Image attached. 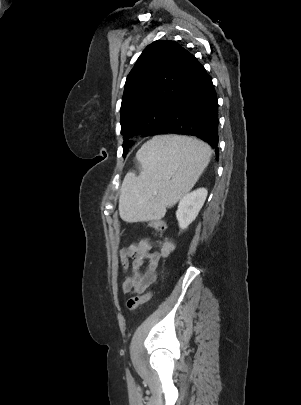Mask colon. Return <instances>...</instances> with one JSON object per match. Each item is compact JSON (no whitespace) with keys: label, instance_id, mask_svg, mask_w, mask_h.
<instances>
[{"label":"colon","instance_id":"obj_1","mask_svg":"<svg viewBox=\"0 0 301 405\" xmlns=\"http://www.w3.org/2000/svg\"><path fill=\"white\" fill-rule=\"evenodd\" d=\"M148 226H150L151 228L155 229L158 232H164L167 229V226L163 221H152L148 223ZM151 296L152 291H149L146 294L137 295L129 298L126 303L128 310L130 311L136 310L140 305L149 301Z\"/></svg>","mask_w":301,"mask_h":405}]
</instances>
